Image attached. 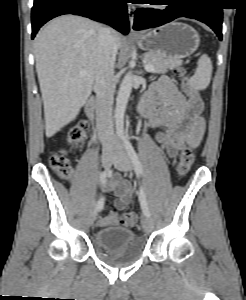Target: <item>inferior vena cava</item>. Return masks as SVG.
Wrapping results in <instances>:
<instances>
[{"mask_svg":"<svg viewBox=\"0 0 246 300\" xmlns=\"http://www.w3.org/2000/svg\"><path fill=\"white\" fill-rule=\"evenodd\" d=\"M117 45L110 28H101L98 34V51L94 91L96 93V125L103 151L113 150L118 140L114 134L112 106L116 80L114 65Z\"/></svg>","mask_w":246,"mask_h":300,"instance_id":"1","label":"inferior vena cava"}]
</instances>
